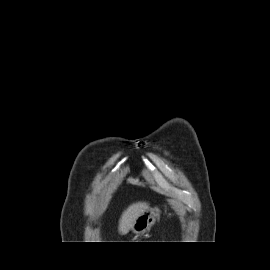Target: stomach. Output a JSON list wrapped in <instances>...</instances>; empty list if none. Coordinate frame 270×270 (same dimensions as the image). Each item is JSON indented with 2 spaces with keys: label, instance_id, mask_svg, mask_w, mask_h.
Masks as SVG:
<instances>
[{
  "label": "stomach",
  "instance_id": "obj_1",
  "mask_svg": "<svg viewBox=\"0 0 270 270\" xmlns=\"http://www.w3.org/2000/svg\"><path fill=\"white\" fill-rule=\"evenodd\" d=\"M160 214L158 207L146 209L135 221L131 231L135 234H143L147 232L156 222Z\"/></svg>",
  "mask_w": 270,
  "mask_h": 270
}]
</instances>
